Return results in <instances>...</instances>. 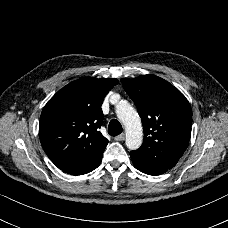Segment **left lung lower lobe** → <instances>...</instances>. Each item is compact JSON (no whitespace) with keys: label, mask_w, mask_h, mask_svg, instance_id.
Returning <instances> with one entry per match:
<instances>
[{"label":"left lung lower lobe","mask_w":228,"mask_h":228,"mask_svg":"<svg viewBox=\"0 0 228 228\" xmlns=\"http://www.w3.org/2000/svg\"><path fill=\"white\" fill-rule=\"evenodd\" d=\"M132 162L138 170H140L141 172L146 173L148 175H160V174L165 173L168 170V169H161V168L148 166L146 164H143V163L133 160V159H132Z\"/></svg>","instance_id":"0a47b994"}]
</instances>
